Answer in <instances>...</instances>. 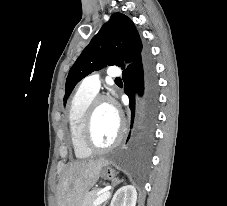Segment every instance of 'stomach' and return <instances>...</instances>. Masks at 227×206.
<instances>
[{
	"label": "stomach",
	"mask_w": 227,
	"mask_h": 206,
	"mask_svg": "<svg viewBox=\"0 0 227 206\" xmlns=\"http://www.w3.org/2000/svg\"><path fill=\"white\" fill-rule=\"evenodd\" d=\"M116 174V171L110 166V162L107 161L101 169V177L107 180H113Z\"/></svg>",
	"instance_id": "0dacf381"
}]
</instances>
